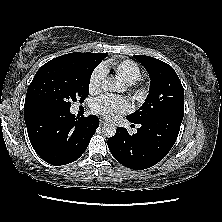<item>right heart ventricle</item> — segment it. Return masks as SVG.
Segmentation results:
<instances>
[{
	"label": "right heart ventricle",
	"mask_w": 222,
	"mask_h": 222,
	"mask_svg": "<svg viewBox=\"0 0 222 222\" xmlns=\"http://www.w3.org/2000/svg\"><path fill=\"white\" fill-rule=\"evenodd\" d=\"M105 70L111 68L118 80L125 85H132L141 76L139 65L132 60H110L103 67Z\"/></svg>",
	"instance_id": "right-heart-ventricle-1"
}]
</instances>
